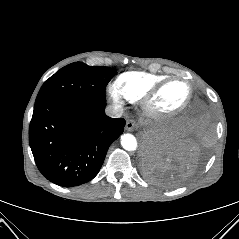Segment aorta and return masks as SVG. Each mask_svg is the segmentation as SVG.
Returning <instances> with one entry per match:
<instances>
[{
  "instance_id": "762f6f07",
  "label": "aorta",
  "mask_w": 239,
  "mask_h": 239,
  "mask_svg": "<svg viewBox=\"0 0 239 239\" xmlns=\"http://www.w3.org/2000/svg\"><path fill=\"white\" fill-rule=\"evenodd\" d=\"M121 146L127 151H135L137 149V140L132 134H124L121 136Z\"/></svg>"
}]
</instances>
